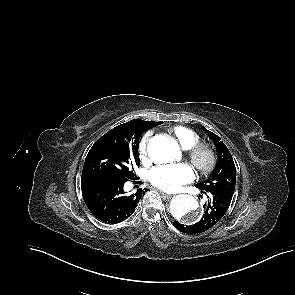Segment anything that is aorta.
Segmentation results:
<instances>
[{
	"mask_svg": "<svg viewBox=\"0 0 295 295\" xmlns=\"http://www.w3.org/2000/svg\"><path fill=\"white\" fill-rule=\"evenodd\" d=\"M148 155L157 163H169L180 157L178 143L169 136L158 135L153 137L148 144ZM197 200L187 194L174 197L170 203V213L178 221L193 223L199 218L197 213Z\"/></svg>",
	"mask_w": 295,
	"mask_h": 295,
	"instance_id": "762f6f07",
	"label": "aorta"
}]
</instances>
